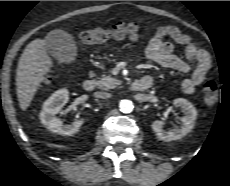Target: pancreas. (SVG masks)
<instances>
[{
	"mask_svg": "<svg viewBox=\"0 0 230 186\" xmlns=\"http://www.w3.org/2000/svg\"><path fill=\"white\" fill-rule=\"evenodd\" d=\"M120 83V80L106 76L97 81V86L100 90H109L114 89L116 86L120 85Z\"/></svg>",
	"mask_w": 230,
	"mask_h": 186,
	"instance_id": "cf45deb5",
	"label": "pancreas"
}]
</instances>
